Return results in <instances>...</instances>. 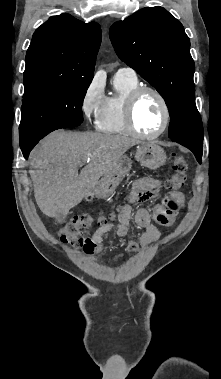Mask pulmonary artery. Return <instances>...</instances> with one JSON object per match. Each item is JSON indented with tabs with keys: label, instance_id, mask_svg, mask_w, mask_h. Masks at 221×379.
I'll list each match as a JSON object with an SVG mask.
<instances>
[{
	"label": "pulmonary artery",
	"instance_id": "obj_1",
	"mask_svg": "<svg viewBox=\"0 0 221 379\" xmlns=\"http://www.w3.org/2000/svg\"><path fill=\"white\" fill-rule=\"evenodd\" d=\"M115 76H121V77L130 78V79H137L135 70L130 67L119 68Z\"/></svg>",
	"mask_w": 221,
	"mask_h": 379
}]
</instances>
